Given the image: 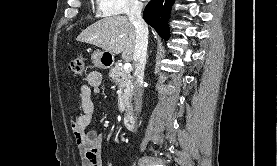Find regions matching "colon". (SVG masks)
<instances>
[{
  "label": "colon",
  "mask_w": 277,
  "mask_h": 166,
  "mask_svg": "<svg viewBox=\"0 0 277 166\" xmlns=\"http://www.w3.org/2000/svg\"><path fill=\"white\" fill-rule=\"evenodd\" d=\"M85 58L76 56L70 62V70L77 76H82L85 73Z\"/></svg>",
  "instance_id": "obj_1"
}]
</instances>
